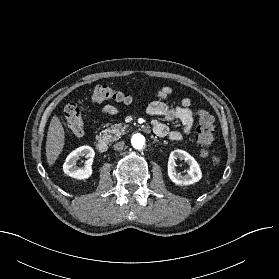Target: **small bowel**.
I'll use <instances>...</instances> for the list:
<instances>
[{"label":"small bowel","instance_id":"c3829d8e","mask_svg":"<svg viewBox=\"0 0 279 279\" xmlns=\"http://www.w3.org/2000/svg\"><path fill=\"white\" fill-rule=\"evenodd\" d=\"M173 94V89L164 86L158 91V99L151 102L147 107V114L152 119L153 132L159 137H168L170 140L179 141L189 135L194 124V114L190 108L192 100L189 97L183 98L180 105L170 106L166 102ZM102 113L107 116L117 114V108L113 105H105ZM166 122L179 121L183 128L181 131H171Z\"/></svg>","mask_w":279,"mask_h":279}]
</instances>
